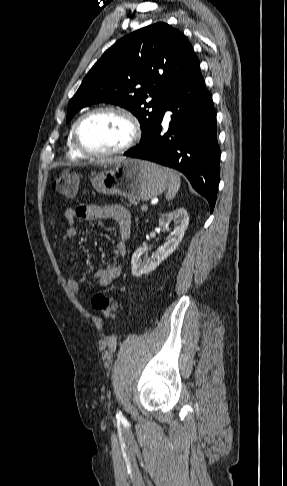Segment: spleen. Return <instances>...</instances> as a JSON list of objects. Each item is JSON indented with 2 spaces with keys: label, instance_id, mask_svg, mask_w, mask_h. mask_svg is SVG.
<instances>
[{
  "label": "spleen",
  "instance_id": "1",
  "mask_svg": "<svg viewBox=\"0 0 287 486\" xmlns=\"http://www.w3.org/2000/svg\"><path fill=\"white\" fill-rule=\"evenodd\" d=\"M167 176L169 178V186L166 194V199H173L180 187V177L179 175L171 169H165Z\"/></svg>",
  "mask_w": 287,
  "mask_h": 486
}]
</instances>
